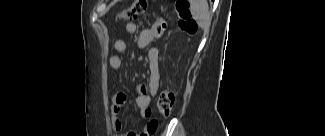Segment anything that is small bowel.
<instances>
[{"label":"small bowel","instance_id":"obj_1","mask_svg":"<svg viewBox=\"0 0 325 136\" xmlns=\"http://www.w3.org/2000/svg\"><path fill=\"white\" fill-rule=\"evenodd\" d=\"M124 28L127 34H134L137 31V25L135 23H127ZM164 32L165 24L163 22H158L154 26L142 30L137 38L139 48H148L154 40L162 37ZM125 51L126 43L120 39L116 40L113 44V54L109 58L111 69H120L122 65V54H124ZM148 67L149 78L147 83L140 84L134 89L136 94V106L139 108L141 116L147 120V124L141 133L129 131L126 133V136H150L154 134L158 128V122L152 118L151 109V101L158 90L160 81L159 57L156 49L152 48L149 50ZM125 101L126 94L124 92H118L113 97L111 106V113L113 115L112 127L116 132H120L123 128V123L118 118V114Z\"/></svg>","mask_w":325,"mask_h":136}]
</instances>
